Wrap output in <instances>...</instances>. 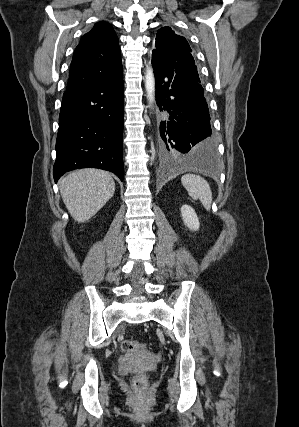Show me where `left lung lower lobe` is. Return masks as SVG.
<instances>
[{"instance_id":"obj_1","label":"left lung lower lobe","mask_w":299,"mask_h":427,"mask_svg":"<svg viewBox=\"0 0 299 427\" xmlns=\"http://www.w3.org/2000/svg\"><path fill=\"white\" fill-rule=\"evenodd\" d=\"M152 66L157 106L164 114L159 134L161 158L215 172L216 143L202 85L192 75L195 62L191 51L185 46L155 49Z\"/></svg>"}]
</instances>
